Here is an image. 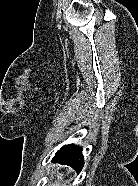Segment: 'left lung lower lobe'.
I'll list each match as a JSON object with an SVG mask.
<instances>
[{
	"mask_svg": "<svg viewBox=\"0 0 138 186\" xmlns=\"http://www.w3.org/2000/svg\"><path fill=\"white\" fill-rule=\"evenodd\" d=\"M52 161L69 165L79 173L84 166L82 148L72 144L65 145L55 154Z\"/></svg>",
	"mask_w": 138,
	"mask_h": 186,
	"instance_id": "1",
	"label": "left lung lower lobe"
}]
</instances>
